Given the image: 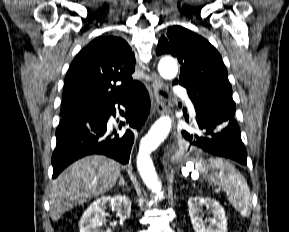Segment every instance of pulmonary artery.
I'll return each instance as SVG.
<instances>
[{
  "label": "pulmonary artery",
  "instance_id": "pulmonary-artery-1",
  "mask_svg": "<svg viewBox=\"0 0 289 232\" xmlns=\"http://www.w3.org/2000/svg\"><path fill=\"white\" fill-rule=\"evenodd\" d=\"M173 91H174L175 93H178V94H181V95L184 96V98H185V100H186V103H187V105L189 106V109H190L191 113L194 114V113H195L194 106H193L191 100L187 97L186 92H185V89L182 88L181 86H175V87L173 88Z\"/></svg>",
  "mask_w": 289,
  "mask_h": 232
}]
</instances>
